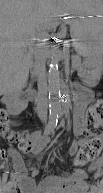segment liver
I'll return each mask as SVG.
<instances>
[{"label":"liver","instance_id":"6515ba94","mask_svg":"<svg viewBox=\"0 0 103 193\" xmlns=\"http://www.w3.org/2000/svg\"><path fill=\"white\" fill-rule=\"evenodd\" d=\"M78 1L66 0H4L1 2L7 42L5 44L6 71L12 79L23 76L25 50L21 37L29 30L62 11H71Z\"/></svg>","mask_w":103,"mask_h":193}]
</instances>
